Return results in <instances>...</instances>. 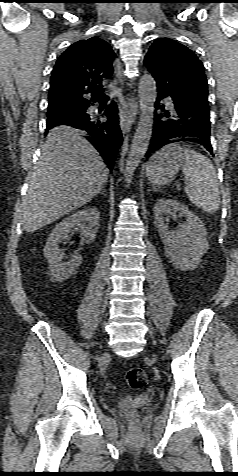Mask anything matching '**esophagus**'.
Wrapping results in <instances>:
<instances>
[{"label": "esophagus", "instance_id": "1", "mask_svg": "<svg viewBox=\"0 0 238 476\" xmlns=\"http://www.w3.org/2000/svg\"><path fill=\"white\" fill-rule=\"evenodd\" d=\"M113 67L119 82L123 84L125 79L122 73L123 67L119 59L114 60ZM127 106V112H120V127L123 133L131 129L137 113V102L134 98L127 97Z\"/></svg>", "mask_w": 238, "mask_h": 476}]
</instances>
